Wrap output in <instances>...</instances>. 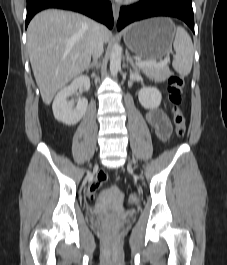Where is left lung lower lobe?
Masks as SVG:
<instances>
[{"label": "left lung lower lobe", "instance_id": "1", "mask_svg": "<svg viewBox=\"0 0 227 265\" xmlns=\"http://www.w3.org/2000/svg\"><path fill=\"white\" fill-rule=\"evenodd\" d=\"M154 16H170L183 20L194 32L192 0H141L124 6L120 10L117 29L121 30L131 22Z\"/></svg>", "mask_w": 227, "mask_h": 265}]
</instances>
